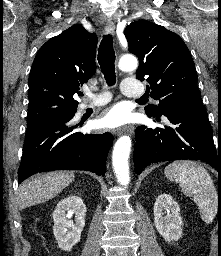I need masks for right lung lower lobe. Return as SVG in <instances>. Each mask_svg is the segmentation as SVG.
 Masks as SVG:
<instances>
[{
    "label": "right lung lower lobe",
    "instance_id": "1",
    "mask_svg": "<svg viewBox=\"0 0 221 256\" xmlns=\"http://www.w3.org/2000/svg\"><path fill=\"white\" fill-rule=\"evenodd\" d=\"M73 116L53 119L27 130L19 182L37 172L53 170H87L105 175L112 135L73 132L68 124Z\"/></svg>",
    "mask_w": 221,
    "mask_h": 256
}]
</instances>
